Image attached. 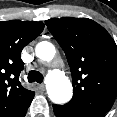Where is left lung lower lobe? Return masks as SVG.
Wrapping results in <instances>:
<instances>
[{"mask_svg": "<svg viewBox=\"0 0 117 117\" xmlns=\"http://www.w3.org/2000/svg\"><path fill=\"white\" fill-rule=\"evenodd\" d=\"M56 117H103L104 115L95 114L79 110L66 105H53Z\"/></svg>", "mask_w": 117, "mask_h": 117, "instance_id": "0a47b994", "label": "left lung lower lobe"}]
</instances>
